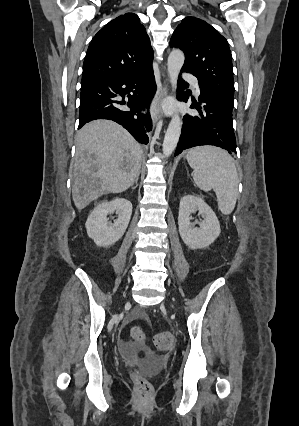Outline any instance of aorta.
I'll use <instances>...</instances> for the list:
<instances>
[{"mask_svg":"<svg viewBox=\"0 0 299 426\" xmlns=\"http://www.w3.org/2000/svg\"><path fill=\"white\" fill-rule=\"evenodd\" d=\"M184 60V53L179 49H174L169 54L167 70L170 78V83L174 91L177 88L178 76L184 64ZM181 128L182 119L178 114H174L168 125L163 141V154L165 157H169L175 150L181 135Z\"/></svg>","mask_w":299,"mask_h":426,"instance_id":"obj_1","label":"aorta"}]
</instances>
